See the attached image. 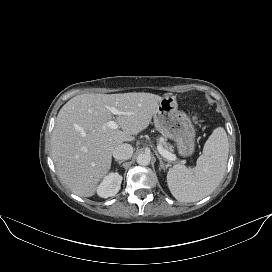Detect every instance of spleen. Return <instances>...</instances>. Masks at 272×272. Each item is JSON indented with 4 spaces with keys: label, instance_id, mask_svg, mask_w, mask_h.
Masks as SVG:
<instances>
[{
    "label": "spleen",
    "instance_id": "1",
    "mask_svg": "<svg viewBox=\"0 0 272 272\" xmlns=\"http://www.w3.org/2000/svg\"><path fill=\"white\" fill-rule=\"evenodd\" d=\"M228 152L226 131L218 127L206 141L196 167L175 165L168 171L167 184L174 198L196 202L213 192L224 176Z\"/></svg>",
    "mask_w": 272,
    "mask_h": 272
}]
</instances>
